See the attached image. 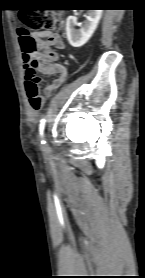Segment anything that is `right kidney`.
<instances>
[{"label": "right kidney", "mask_w": 145, "mask_h": 278, "mask_svg": "<svg viewBox=\"0 0 145 278\" xmlns=\"http://www.w3.org/2000/svg\"><path fill=\"white\" fill-rule=\"evenodd\" d=\"M103 10H88L83 23H77L75 16H69L66 20L67 39L72 47L83 46L93 35L101 18ZM79 26V29L75 27Z\"/></svg>", "instance_id": "1"}]
</instances>
